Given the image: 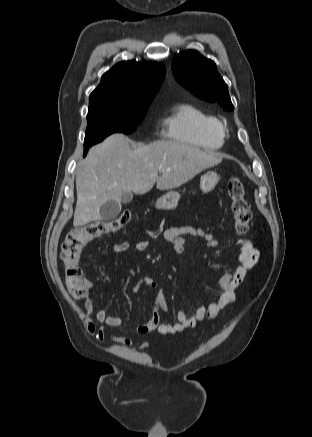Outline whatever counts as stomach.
I'll use <instances>...</instances> for the list:
<instances>
[{"label": "stomach", "instance_id": "obj_1", "mask_svg": "<svg viewBox=\"0 0 312 437\" xmlns=\"http://www.w3.org/2000/svg\"><path fill=\"white\" fill-rule=\"evenodd\" d=\"M219 176L214 171L206 172L200 179V188L203 193L212 191L218 183ZM180 194L176 191H169L157 199L155 206L160 210H174L178 206Z\"/></svg>", "mask_w": 312, "mask_h": 437}]
</instances>
